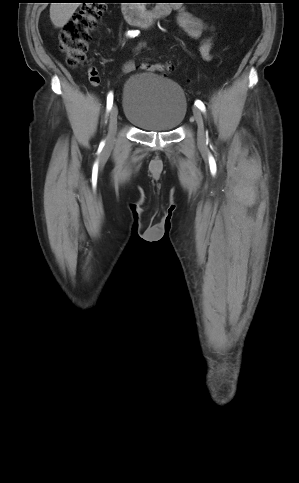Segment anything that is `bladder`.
Returning a JSON list of instances; mask_svg holds the SVG:
<instances>
[{"label": "bladder", "instance_id": "bladder-1", "mask_svg": "<svg viewBox=\"0 0 299 483\" xmlns=\"http://www.w3.org/2000/svg\"><path fill=\"white\" fill-rule=\"evenodd\" d=\"M125 119L146 132H171L184 120L187 100L174 81L153 72L131 75L122 90Z\"/></svg>", "mask_w": 299, "mask_h": 483}]
</instances>
